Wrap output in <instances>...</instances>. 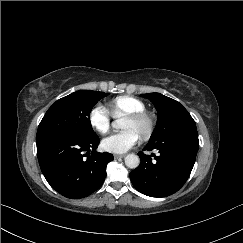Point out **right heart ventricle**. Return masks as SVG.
<instances>
[{
  "instance_id": "right-heart-ventricle-1",
  "label": "right heart ventricle",
  "mask_w": 243,
  "mask_h": 243,
  "mask_svg": "<svg viewBox=\"0 0 243 243\" xmlns=\"http://www.w3.org/2000/svg\"><path fill=\"white\" fill-rule=\"evenodd\" d=\"M108 109L113 116L120 117L145 111V104L133 96L123 95L113 98L108 103Z\"/></svg>"
}]
</instances>
